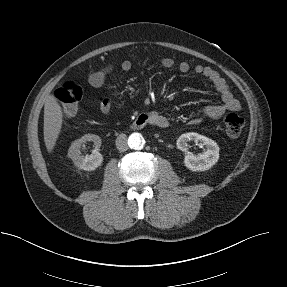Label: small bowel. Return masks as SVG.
Listing matches in <instances>:
<instances>
[{
	"mask_svg": "<svg viewBox=\"0 0 287 287\" xmlns=\"http://www.w3.org/2000/svg\"><path fill=\"white\" fill-rule=\"evenodd\" d=\"M161 65L164 68L170 69L175 66V61L171 57H163L160 60ZM113 64H108L94 72H92L88 77V82L92 87L100 88L102 87L108 76L114 70ZM132 68V63L129 60H123L120 63V69L122 71H130ZM178 70L181 73H188L193 70L196 74L206 77L214 86L216 91L220 94L221 103L215 105H208L204 107L200 116L194 117L188 121L189 124H198L202 120H217L222 117L227 111H238L241 108L240 102L234 97L230 91L226 80L222 75L212 67L204 66L201 64L195 65L193 68L191 65L182 61L178 64ZM100 110L103 115L108 116L112 110V101L109 98H104L100 103ZM152 119L153 124L160 128H167L172 125L173 121L158 111H151L148 113Z\"/></svg>",
	"mask_w": 287,
	"mask_h": 287,
	"instance_id": "obj_1",
	"label": "small bowel"
}]
</instances>
